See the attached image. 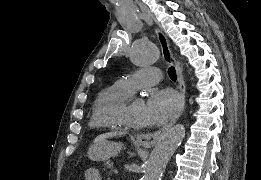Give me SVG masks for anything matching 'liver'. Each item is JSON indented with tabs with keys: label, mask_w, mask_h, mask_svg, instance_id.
<instances>
[{
	"label": "liver",
	"mask_w": 261,
	"mask_h": 180,
	"mask_svg": "<svg viewBox=\"0 0 261 180\" xmlns=\"http://www.w3.org/2000/svg\"><path fill=\"white\" fill-rule=\"evenodd\" d=\"M127 132H107V134H100L94 140V144H98V142H104L107 138H114V136H125Z\"/></svg>",
	"instance_id": "obj_1"
}]
</instances>
